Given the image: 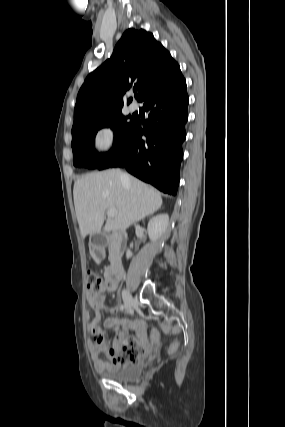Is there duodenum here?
Wrapping results in <instances>:
<instances>
[{
	"instance_id": "obj_1",
	"label": "duodenum",
	"mask_w": 285,
	"mask_h": 427,
	"mask_svg": "<svg viewBox=\"0 0 285 427\" xmlns=\"http://www.w3.org/2000/svg\"><path fill=\"white\" fill-rule=\"evenodd\" d=\"M119 242L123 245L126 242V238L124 236H120ZM124 274V268L121 263L120 253L115 254L112 253L111 256V265L107 268L105 272V276L109 281H117L121 279Z\"/></svg>"
}]
</instances>
